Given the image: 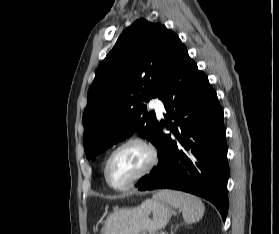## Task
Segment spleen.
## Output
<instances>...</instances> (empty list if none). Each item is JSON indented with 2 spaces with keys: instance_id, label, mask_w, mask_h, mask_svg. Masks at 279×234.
I'll use <instances>...</instances> for the list:
<instances>
[{
  "instance_id": "obj_1",
  "label": "spleen",
  "mask_w": 279,
  "mask_h": 234,
  "mask_svg": "<svg viewBox=\"0 0 279 234\" xmlns=\"http://www.w3.org/2000/svg\"><path fill=\"white\" fill-rule=\"evenodd\" d=\"M154 198L168 203L182 211L186 223H195L199 221L205 212V206L202 201L193 195L180 191L162 190Z\"/></svg>"
}]
</instances>
